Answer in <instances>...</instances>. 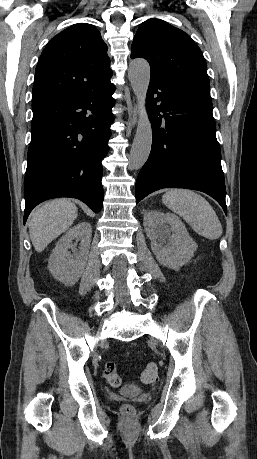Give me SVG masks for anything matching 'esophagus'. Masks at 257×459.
Masks as SVG:
<instances>
[{
  "mask_svg": "<svg viewBox=\"0 0 257 459\" xmlns=\"http://www.w3.org/2000/svg\"><path fill=\"white\" fill-rule=\"evenodd\" d=\"M137 119H138V107H137V105H134V107L132 109L131 117H130V125H131V127H135V125L137 123Z\"/></svg>",
  "mask_w": 257,
  "mask_h": 459,
  "instance_id": "1",
  "label": "esophagus"
}]
</instances>
